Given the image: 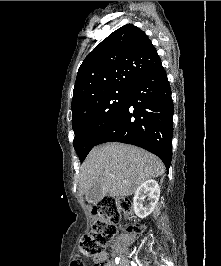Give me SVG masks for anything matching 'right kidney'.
I'll return each instance as SVG.
<instances>
[{"instance_id": "right-kidney-1", "label": "right kidney", "mask_w": 221, "mask_h": 266, "mask_svg": "<svg viewBox=\"0 0 221 266\" xmlns=\"http://www.w3.org/2000/svg\"><path fill=\"white\" fill-rule=\"evenodd\" d=\"M160 197V187L153 180L142 183L135 191L133 198L134 212L139 218H145L152 213Z\"/></svg>"}]
</instances>
